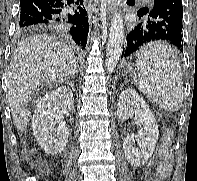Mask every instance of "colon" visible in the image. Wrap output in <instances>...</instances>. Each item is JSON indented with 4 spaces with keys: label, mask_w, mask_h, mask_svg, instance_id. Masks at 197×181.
<instances>
[{
    "label": "colon",
    "mask_w": 197,
    "mask_h": 181,
    "mask_svg": "<svg viewBox=\"0 0 197 181\" xmlns=\"http://www.w3.org/2000/svg\"><path fill=\"white\" fill-rule=\"evenodd\" d=\"M172 140V132L170 129L166 131L164 137V144L160 149V157L162 162L159 164L158 167V180L162 181L167 179L171 174V152L169 149V143Z\"/></svg>",
    "instance_id": "colon-1"
}]
</instances>
